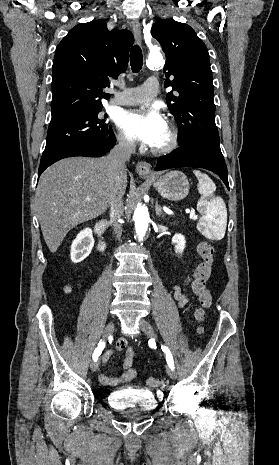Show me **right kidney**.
<instances>
[{"label": "right kidney", "mask_w": 279, "mask_h": 465, "mask_svg": "<svg viewBox=\"0 0 279 465\" xmlns=\"http://www.w3.org/2000/svg\"><path fill=\"white\" fill-rule=\"evenodd\" d=\"M94 238L91 228H85L78 233L71 245V260L73 263L83 261L92 251Z\"/></svg>", "instance_id": "ca27d5eb"}]
</instances>
